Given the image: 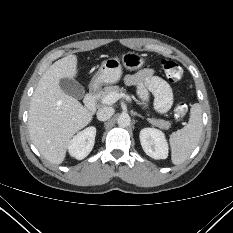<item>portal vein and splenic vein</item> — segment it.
Returning a JSON list of instances; mask_svg holds the SVG:
<instances>
[{"label":"portal vein and splenic vein","instance_id":"18ae733b","mask_svg":"<svg viewBox=\"0 0 233 233\" xmlns=\"http://www.w3.org/2000/svg\"><path fill=\"white\" fill-rule=\"evenodd\" d=\"M121 98H125L127 101H131L130 96H128L124 93H110L109 95L105 96L101 100V102H102V104L111 105Z\"/></svg>","mask_w":233,"mask_h":233}]
</instances>
